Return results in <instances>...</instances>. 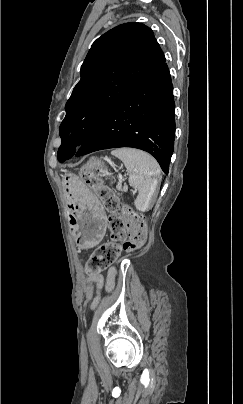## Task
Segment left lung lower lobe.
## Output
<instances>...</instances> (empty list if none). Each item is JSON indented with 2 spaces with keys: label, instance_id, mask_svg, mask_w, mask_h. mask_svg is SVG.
I'll list each match as a JSON object with an SVG mask.
<instances>
[{
  "label": "left lung lower lobe",
  "instance_id": "1",
  "mask_svg": "<svg viewBox=\"0 0 243 404\" xmlns=\"http://www.w3.org/2000/svg\"><path fill=\"white\" fill-rule=\"evenodd\" d=\"M174 110L171 76L164 63L102 116L73 156L132 147L150 153L168 174L174 147Z\"/></svg>",
  "mask_w": 243,
  "mask_h": 404
}]
</instances>
